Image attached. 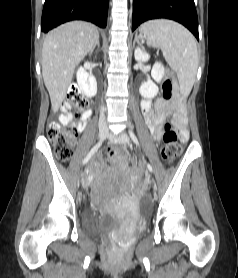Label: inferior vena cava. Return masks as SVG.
I'll use <instances>...</instances> for the list:
<instances>
[{
	"instance_id": "602c4592",
	"label": "inferior vena cava",
	"mask_w": 238,
	"mask_h": 278,
	"mask_svg": "<svg viewBox=\"0 0 238 278\" xmlns=\"http://www.w3.org/2000/svg\"><path fill=\"white\" fill-rule=\"evenodd\" d=\"M99 125H100V126H106V123H105V116H104V111H103V109L101 110L100 119H99Z\"/></svg>"
}]
</instances>
